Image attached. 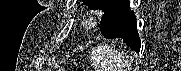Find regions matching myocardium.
<instances>
[{
	"mask_svg": "<svg viewBox=\"0 0 181 71\" xmlns=\"http://www.w3.org/2000/svg\"><path fill=\"white\" fill-rule=\"evenodd\" d=\"M95 25L96 21L93 17L87 18L83 23L84 28L87 30L93 28Z\"/></svg>",
	"mask_w": 181,
	"mask_h": 71,
	"instance_id": "f54148a6",
	"label": "myocardium"
}]
</instances>
